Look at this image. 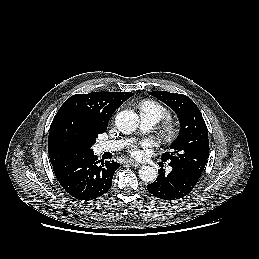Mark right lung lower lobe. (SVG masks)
<instances>
[{
	"label": "right lung lower lobe",
	"mask_w": 259,
	"mask_h": 259,
	"mask_svg": "<svg viewBox=\"0 0 259 259\" xmlns=\"http://www.w3.org/2000/svg\"><path fill=\"white\" fill-rule=\"evenodd\" d=\"M51 164L65 191L72 197L85 201L106 193L112 185L114 172L120 167L114 161L98 160L93 152L66 156L51 161Z\"/></svg>",
	"instance_id": "right-lung-lower-lobe-1"
}]
</instances>
